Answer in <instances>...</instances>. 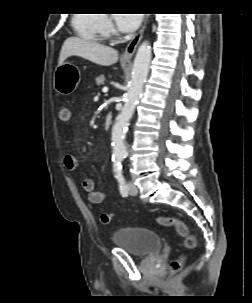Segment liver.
Masks as SVG:
<instances>
[{"label":"liver","mask_w":252,"mask_h":303,"mask_svg":"<svg viewBox=\"0 0 252 303\" xmlns=\"http://www.w3.org/2000/svg\"><path fill=\"white\" fill-rule=\"evenodd\" d=\"M70 56H79L102 66H110L118 61V52L115 49L80 37H69L65 40L58 65L63 64Z\"/></svg>","instance_id":"obj_1"}]
</instances>
